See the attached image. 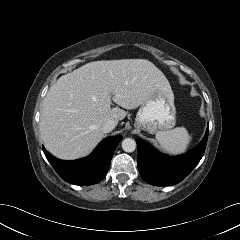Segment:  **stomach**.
<instances>
[{"instance_id": "0dacf381", "label": "stomach", "mask_w": 240, "mask_h": 240, "mask_svg": "<svg viewBox=\"0 0 240 240\" xmlns=\"http://www.w3.org/2000/svg\"><path fill=\"white\" fill-rule=\"evenodd\" d=\"M176 124L172 93L158 90L143 102L137 112L135 127L149 133L168 131Z\"/></svg>"}]
</instances>
